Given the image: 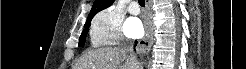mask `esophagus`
<instances>
[{"label":"esophagus","instance_id":"1","mask_svg":"<svg viewBox=\"0 0 246 69\" xmlns=\"http://www.w3.org/2000/svg\"><path fill=\"white\" fill-rule=\"evenodd\" d=\"M149 16H150V11H149ZM152 45H153V30L151 28V20L149 19L145 29V35L137 44V52L142 55L148 54L151 50Z\"/></svg>","mask_w":246,"mask_h":69}]
</instances>
